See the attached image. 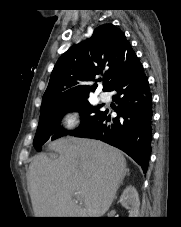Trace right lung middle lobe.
<instances>
[{
    "instance_id": "right-lung-middle-lobe-1",
    "label": "right lung middle lobe",
    "mask_w": 181,
    "mask_h": 227,
    "mask_svg": "<svg viewBox=\"0 0 181 227\" xmlns=\"http://www.w3.org/2000/svg\"><path fill=\"white\" fill-rule=\"evenodd\" d=\"M87 98L64 102L41 110L38 128L33 141L37 151L41 150V146L48 139L54 140L67 134L74 135L98 121L103 111L100 110V107L91 106ZM70 111L80 112L82 119L80 127L73 131H67L60 126V120L63 115Z\"/></svg>"
}]
</instances>
